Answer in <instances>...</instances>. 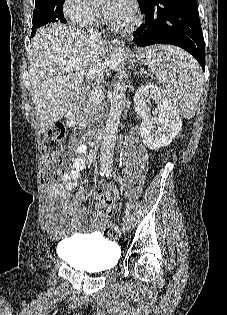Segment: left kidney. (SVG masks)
I'll list each match as a JSON object with an SVG mask.
<instances>
[{"mask_svg": "<svg viewBox=\"0 0 227 315\" xmlns=\"http://www.w3.org/2000/svg\"><path fill=\"white\" fill-rule=\"evenodd\" d=\"M151 102L156 105L158 117L151 116ZM134 106L136 113L143 118L140 126L143 143L150 149L169 145L182 128L179 114L155 85L139 87L134 96Z\"/></svg>", "mask_w": 227, "mask_h": 315, "instance_id": "obj_1", "label": "left kidney"}]
</instances>
